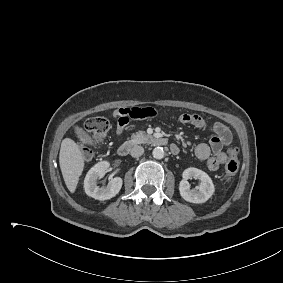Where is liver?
<instances>
[{
  "instance_id": "1",
  "label": "liver",
  "mask_w": 283,
  "mask_h": 283,
  "mask_svg": "<svg viewBox=\"0 0 283 283\" xmlns=\"http://www.w3.org/2000/svg\"><path fill=\"white\" fill-rule=\"evenodd\" d=\"M59 164L68 190L74 193L84 169V156L79 145L70 138L62 140Z\"/></svg>"
}]
</instances>
